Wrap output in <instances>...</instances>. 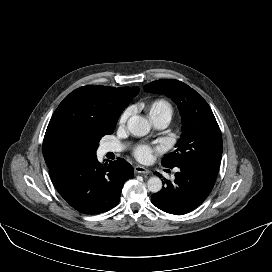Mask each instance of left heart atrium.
<instances>
[{"label":"left heart atrium","mask_w":272,"mask_h":272,"mask_svg":"<svg viewBox=\"0 0 272 272\" xmlns=\"http://www.w3.org/2000/svg\"><path fill=\"white\" fill-rule=\"evenodd\" d=\"M154 149L148 145H140L135 148L133 154L137 160L146 162L149 161L152 157Z\"/></svg>","instance_id":"1"}]
</instances>
